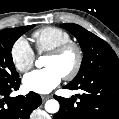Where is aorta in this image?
Wrapping results in <instances>:
<instances>
[{
    "instance_id": "obj_1",
    "label": "aorta",
    "mask_w": 119,
    "mask_h": 119,
    "mask_svg": "<svg viewBox=\"0 0 119 119\" xmlns=\"http://www.w3.org/2000/svg\"><path fill=\"white\" fill-rule=\"evenodd\" d=\"M35 65L37 67L42 66V57H40L36 62ZM45 110L48 113H57L59 110V102L55 99H50L45 103Z\"/></svg>"
}]
</instances>
